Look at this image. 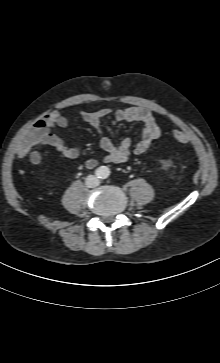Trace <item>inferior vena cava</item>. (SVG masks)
<instances>
[{"mask_svg":"<svg viewBox=\"0 0 220 363\" xmlns=\"http://www.w3.org/2000/svg\"><path fill=\"white\" fill-rule=\"evenodd\" d=\"M86 186L89 187V188H93V187H96L98 186L99 184V180L96 176L94 175H89L87 178H86Z\"/></svg>","mask_w":220,"mask_h":363,"instance_id":"602c4592","label":"inferior vena cava"}]
</instances>
